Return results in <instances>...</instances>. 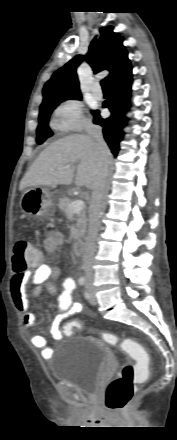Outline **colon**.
Instances as JSON below:
<instances>
[{"label":"colon","mask_w":177,"mask_h":440,"mask_svg":"<svg viewBox=\"0 0 177 440\" xmlns=\"http://www.w3.org/2000/svg\"><path fill=\"white\" fill-rule=\"evenodd\" d=\"M41 261L42 253L29 239L21 238L15 242L13 246V268L16 272L26 271ZM79 329H81L80 321L71 319L63 325L62 332L69 336ZM101 336L105 342L129 353L136 361V363L124 364L118 375L106 388L104 395L106 408L119 411L124 409L132 400L136 385L148 376V353L142 345L129 338H121L106 332L102 333Z\"/></svg>","instance_id":"5ec220e1"}]
</instances>
